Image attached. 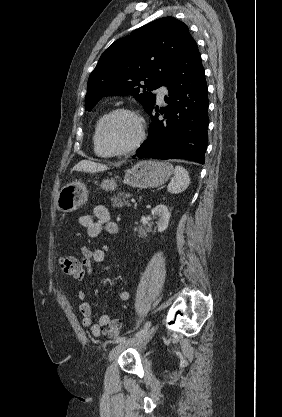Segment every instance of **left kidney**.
<instances>
[{
    "instance_id": "1",
    "label": "left kidney",
    "mask_w": 282,
    "mask_h": 417,
    "mask_svg": "<svg viewBox=\"0 0 282 417\" xmlns=\"http://www.w3.org/2000/svg\"><path fill=\"white\" fill-rule=\"evenodd\" d=\"M151 213L153 217H159L157 223L159 233L166 231L171 217V213L168 211V206H166V204H157L155 209H152Z\"/></svg>"
}]
</instances>
